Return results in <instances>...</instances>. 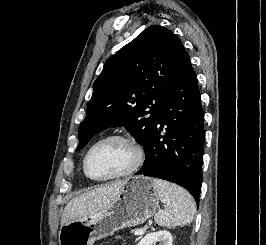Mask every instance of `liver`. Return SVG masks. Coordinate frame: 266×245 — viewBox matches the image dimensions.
<instances>
[{
    "mask_svg": "<svg viewBox=\"0 0 266 245\" xmlns=\"http://www.w3.org/2000/svg\"><path fill=\"white\" fill-rule=\"evenodd\" d=\"M125 181H117V183H109V185H101L98 189H92L88 193H83L75 199H71L66 205L61 217V225L76 221V219H85L97 215L99 211H104L110 207L112 201H115L120 189L124 187Z\"/></svg>",
    "mask_w": 266,
    "mask_h": 245,
    "instance_id": "6515ba94",
    "label": "liver"
}]
</instances>
